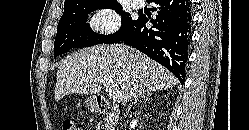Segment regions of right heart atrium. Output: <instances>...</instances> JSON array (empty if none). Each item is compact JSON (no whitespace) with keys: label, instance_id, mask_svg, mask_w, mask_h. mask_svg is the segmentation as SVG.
<instances>
[{"label":"right heart atrium","instance_id":"1","mask_svg":"<svg viewBox=\"0 0 249 130\" xmlns=\"http://www.w3.org/2000/svg\"><path fill=\"white\" fill-rule=\"evenodd\" d=\"M88 26L100 35H111L120 26V17L111 7H100L90 14L87 20Z\"/></svg>","mask_w":249,"mask_h":130}]
</instances>
